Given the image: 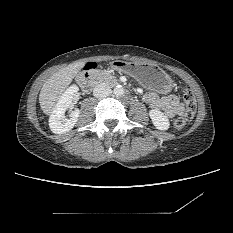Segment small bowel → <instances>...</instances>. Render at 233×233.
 Instances as JSON below:
<instances>
[{
  "mask_svg": "<svg viewBox=\"0 0 233 233\" xmlns=\"http://www.w3.org/2000/svg\"><path fill=\"white\" fill-rule=\"evenodd\" d=\"M142 99L151 108L161 110L168 118L184 112V105L176 95L159 97L157 93L149 91L142 96Z\"/></svg>",
  "mask_w": 233,
  "mask_h": 233,
  "instance_id": "1",
  "label": "small bowel"
}]
</instances>
